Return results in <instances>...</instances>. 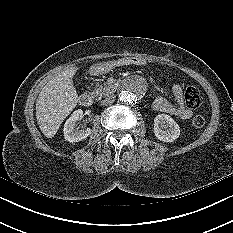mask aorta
<instances>
[{
    "label": "aorta",
    "mask_w": 233,
    "mask_h": 233,
    "mask_svg": "<svg viewBox=\"0 0 233 233\" xmlns=\"http://www.w3.org/2000/svg\"><path fill=\"white\" fill-rule=\"evenodd\" d=\"M145 91V84L138 78H132L123 85L119 99L123 104H134L144 97Z\"/></svg>",
    "instance_id": "aorta-1"
}]
</instances>
